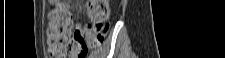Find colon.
Masks as SVG:
<instances>
[{"label": "colon", "mask_w": 225, "mask_h": 58, "mask_svg": "<svg viewBox=\"0 0 225 58\" xmlns=\"http://www.w3.org/2000/svg\"><path fill=\"white\" fill-rule=\"evenodd\" d=\"M86 4L90 24L83 28L74 25L72 11L67 4H60L51 12L48 31L51 57L65 58L70 48L75 58H85L104 42L109 29L108 1L90 0Z\"/></svg>", "instance_id": "obj_1"}]
</instances>
